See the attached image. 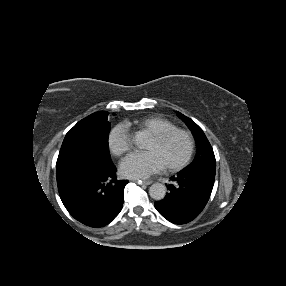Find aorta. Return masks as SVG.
Here are the masks:
<instances>
[{"label": "aorta", "instance_id": "762f6f07", "mask_svg": "<svg viewBox=\"0 0 286 286\" xmlns=\"http://www.w3.org/2000/svg\"><path fill=\"white\" fill-rule=\"evenodd\" d=\"M166 187L161 183H154L149 187V195L154 200H162L166 195Z\"/></svg>", "mask_w": 286, "mask_h": 286}]
</instances>
